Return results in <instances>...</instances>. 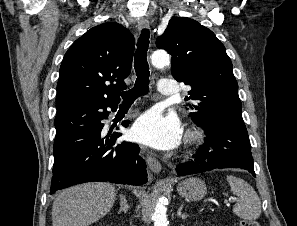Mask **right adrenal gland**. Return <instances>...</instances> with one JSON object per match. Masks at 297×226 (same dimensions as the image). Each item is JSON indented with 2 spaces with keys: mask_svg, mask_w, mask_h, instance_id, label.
I'll list each match as a JSON object with an SVG mask.
<instances>
[{
  "mask_svg": "<svg viewBox=\"0 0 297 226\" xmlns=\"http://www.w3.org/2000/svg\"><path fill=\"white\" fill-rule=\"evenodd\" d=\"M120 209H119V213L124 212L127 213L128 210L130 209V205L128 204V201L125 197V195L120 194Z\"/></svg>",
  "mask_w": 297,
  "mask_h": 226,
  "instance_id": "1",
  "label": "right adrenal gland"
}]
</instances>
